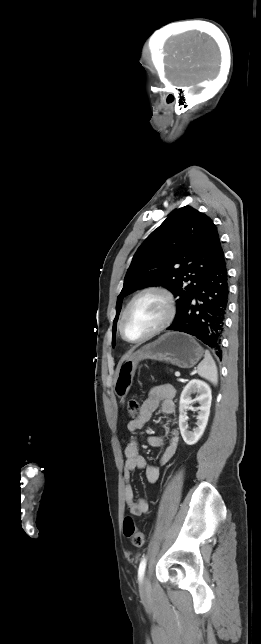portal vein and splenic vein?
I'll return each mask as SVG.
<instances>
[{
    "label": "portal vein and splenic vein",
    "mask_w": 261,
    "mask_h": 644,
    "mask_svg": "<svg viewBox=\"0 0 261 644\" xmlns=\"http://www.w3.org/2000/svg\"><path fill=\"white\" fill-rule=\"evenodd\" d=\"M176 377H180V372H175Z\"/></svg>",
    "instance_id": "obj_1"
}]
</instances>
